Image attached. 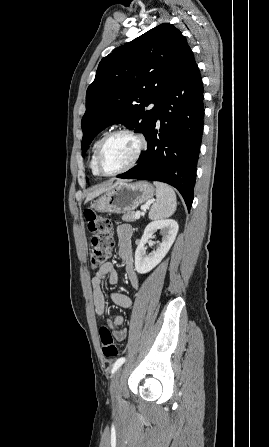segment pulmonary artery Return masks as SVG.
Masks as SVG:
<instances>
[{
    "label": "pulmonary artery",
    "mask_w": 269,
    "mask_h": 447,
    "mask_svg": "<svg viewBox=\"0 0 269 447\" xmlns=\"http://www.w3.org/2000/svg\"><path fill=\"white\" fill-rule=\"evenodd\" d=\"M153 107V105L151 104L150 106H149V108H152Z\"/></svg>",
    "instance_id": "pulmonary-artery-1"
}]
</instances>
